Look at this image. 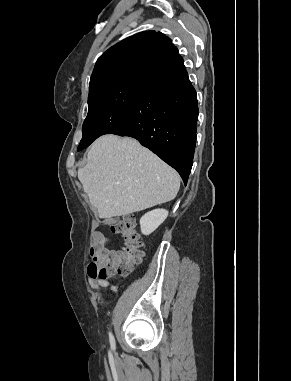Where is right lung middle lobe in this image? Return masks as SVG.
<instances>
[{"label": "right lung middle lobe", "instance_id": "dd1d6c3e", "mask_svg": "<svg viewBox=\"0 0 291 381\" xmlns=\"http://www.w3.org/2000/svg\"><path fill=\"white\" fill-rule=\"evenodd\" d=\"M142 80L129 79L88 96V114L78 151L99 136L114 133L124 126Z\"/></svg>", "mask_w": 291, "mask_h": 381}]
</instances>
